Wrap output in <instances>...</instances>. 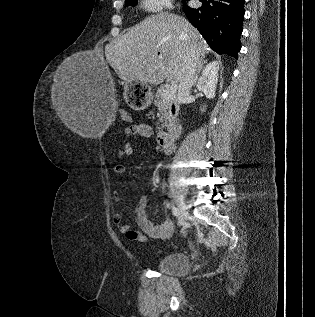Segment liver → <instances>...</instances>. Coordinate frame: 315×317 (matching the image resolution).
<instances>
[{"label": "liver", "instance_id": "liver-1", "mask_svg": "<svg viewBox=\"0 0 315 317\" xmlns=\"http://www.w3.org/2000/svg\"><path fill=\"white\" fill-rule=\"evenodd\" d=\"M209 47L200 33L185 18L160 13L148 16L131 28L115 45L105 49L107 62L126 83L140 81L160 84L178 81L191 55L204 56ZM67 60L62 66L69 65ZM62 121L73 132L82 127L59 111Z\"/></svg>", "mask_w": 315, "mask_h": 317}]
</instances>
